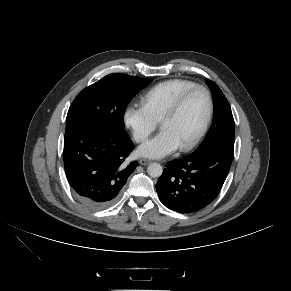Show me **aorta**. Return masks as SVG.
<instances>
[{"label":"aorta","mask_w":291,"mask_h":291,"mask_svg":"<svg viewBox=\"0 0 291 291\" xmlns=\"http://www.w3.org/2000/svg\"><path fill=\"white\" fill-rule=\"evenodd\" d=\"M147 172L151 177H160L163 173V168L159 163H151L147 168Z\"/></svg>","instance_id":"1"}]
</instances>
